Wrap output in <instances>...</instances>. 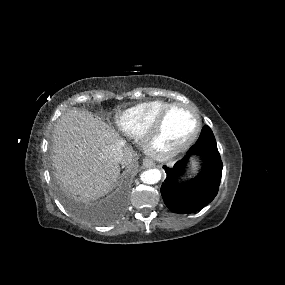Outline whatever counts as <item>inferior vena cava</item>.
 Returning <instances> with one entry per match:
<instances>
[{
	"instance_id": "602c4592",
	"label": "inferior vena cava",
	"mask_w": 285,
	"mask_h": 285,
	"mask_svg": "<svg viewBox=\"0 0 285 285\" xmlns=\"http://www.w3.org/2000/svg\"><path fill=\"white\" fill-rule=\"evenodd\" d=\"M123 145V142L119 141L110 154L111 159L117 163L123 162Z\"/></svg>"
}]
</instances>
